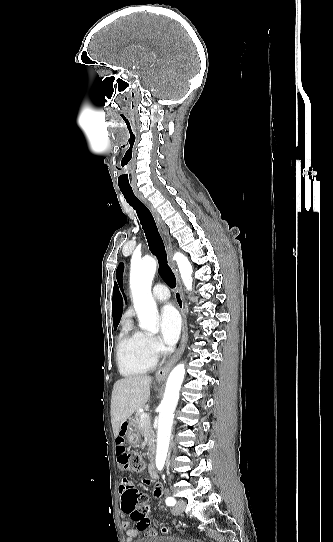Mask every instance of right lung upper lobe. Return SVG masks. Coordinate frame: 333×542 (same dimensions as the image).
<instances>
[{"instance_id": "cb5924a9", "label": "right lung upper lobe", "mask_w": 333, "mask_h": 542, "mask_svg": "<svg viewBox=\"0 0 333 542\" xmlns=\"http://www.w3.org/2000/svg\"><path fill=\"white\" fill-rule=\"evenodd\" d=\"M112 309H113V325L118 326V324L120 322L121 315H122L123 302H122V297L120 295V292L118 290V287H117L116 283H115L114 289H113Z\"/></svg>"}]
</instances>
